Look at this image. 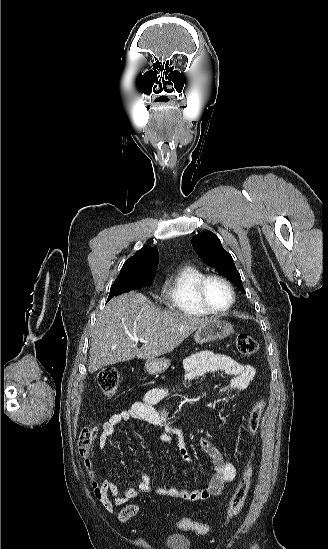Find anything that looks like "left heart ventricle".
Instances as JSON below:
<instances>
[{"mask_svg":"<svg viewBox=\"0 0 328 549\" xmlns=\"http://www.w3.org/2000/svg\"><path fill=\"white\" fill-rule=\"evenodd\" d=\"M206 299L208 302L206 306L209 309L221 311L229 305L231 294L228 287L224 283L218 280H213L207 286Z\"/></svg>","mask_w":328,"mask_h":549,"instance_id":"1","label":"left heart ventricle"}]
</instances>
